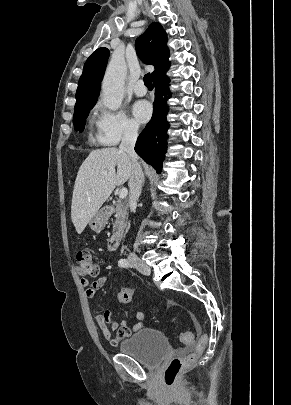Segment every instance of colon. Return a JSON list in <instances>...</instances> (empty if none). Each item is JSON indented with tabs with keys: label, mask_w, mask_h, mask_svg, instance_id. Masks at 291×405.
I'll use <instances>...</instances> for the list:
<instances>
[{
	"label": "colon",
	"mask_w": 291,
	"mask_h": 405,
	"mask_svg": "<svg viewBox=\"0 0 291 405\" xmlns=\"http://www.w3.org/2000/svg\"><path fill=\"white\" fill-rule=\"evenodd\" d=\"M77 271L83 276H97L99 273V265L95 261L92 253L88 250H80L77 253ZM134 295V289L131 287H123L118 293V300L121 303H128ZM180 340L185 345H191L194 341V336L191 332H183ZM207 344V336L202 335L195 347V351L184 357H174L168 363L164 370V380L168 386H173L181 372L192 366L199 355L204 351Z\"/></svg>",
	"instance_id": "5ec220e1"
}]
</instances>
